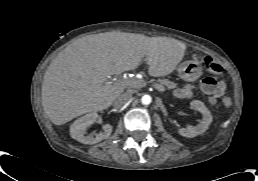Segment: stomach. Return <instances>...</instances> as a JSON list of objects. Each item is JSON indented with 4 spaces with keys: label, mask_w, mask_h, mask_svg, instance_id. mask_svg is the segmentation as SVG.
I'll use <instances>...</instances> for the list:
<instances>
[{
    "label": "stomach",
    "mask_w": 258,
    "mask_h": 181,
    "mask_svg": "<svg viewBox=\"0 0 258 181\" xmlns=\"http://www.w3.org/2000/svg\"><path fill=\"white\" fill-rule=\"evenodd\" d=\"M177 70L182 79L191 81L200 75L202 68L200 62L196 60H189L181 63Z\"/></svg>",
    "instance_id": "obj_1"
}]
</instances>
